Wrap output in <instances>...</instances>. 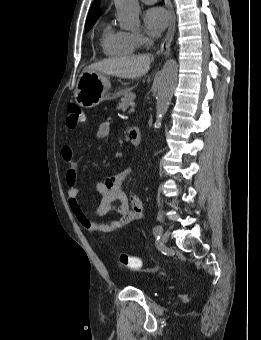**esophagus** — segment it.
Returning a JSON list of instances; mask_svg holds the SVG:
<instances>
[{"label": "esophagus", "instance_id": "1", "mask_svg": "<svg viewBox=\"0 0 261 340\" xmlns=\"http://www.w3.org/2000/svg\"><path fill=\"white\" fill-rule=\"evenodd\" d=\"M167 7H168L169 15H170V24H169V28H168L166 37H165L162 45L160 46V48L157 52L158 55L169 51L170 45H171V42H172L173 36H174L175 26H176L175 13H174V10H173V7L171 5L170 0H169Z\"/></svg>", "mask_w": 261, "mask_h": 340}]
</instances>
